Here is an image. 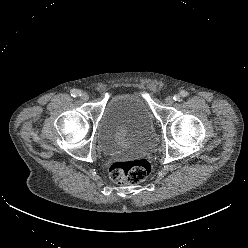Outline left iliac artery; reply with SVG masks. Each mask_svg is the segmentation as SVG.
<instances>
[{
    "label": "left iliac artery",
    "instance_id": "1",
    "mask_svg": "<svg viewBox=\"0 0 248 248\" xmlns=\"http://www.w3.org/2000/svg\"><path fill=\"white\" fill-rule=\"evenodd\" d=\"M188 93L185 90H182L179 94H176L173 98L175 101H180L181 98L187 97Z\"/></svg>",
    "mask_w": 248,
    "mask_h": 248
}]
</instances>
